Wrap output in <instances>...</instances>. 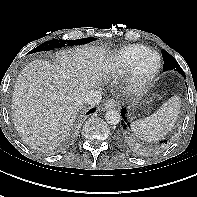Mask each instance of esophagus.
<instances>
[{
	"mask_svg": "<svg viewBox=\"0 0 197 197\" xmlns=\"http://www.w3.org/2000/svg\"><path fill=\"white\" fill-rule=\"evenodd\" d=\"M117 106V102L113 99H108L104 103V108H115Z\"/></svg>",
	"mask_w": 197,
	"mask_h": 197,
	"instance_id": "esophagus-1",
	"label": "esophagus"
}]
</instances>
